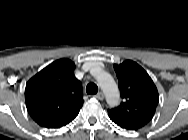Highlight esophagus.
Instances as JSON below:
<instances>
[{"label": "esophagus", "instance_id": "34e87169", "mask_svg": "<svg viewBox=\"0 0 188 140\" xmlns=\"http://www.w3.org/2000/svg\"><path fill=\"white\" fill-rule=\"evenodd\" d=\"M94 98H96L98 100H103L104 99V94L102 92H99L96 95H94Z\"/></svg>", "mask_w": 188, "mask_h": 140}]
</instances>
